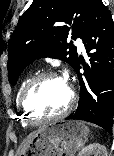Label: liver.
Wrapping results in <instances>:
<instances>
[{"label": "liver", "instance_id": "obj_1", "mask_svg": "<svg viewBox=\"0 0 114 156\" xmlns=\"http://www.w3.org/2000/svg\"><path fill=\"white\" fill-rule=\"evenodd\" d=\"M42 128H39L37 131L32 132L31 134H29L27 136L26 139H24V141L21 143V145L18 148L17 151V156H21L22 154L25 153L27 147L29 146L30 142L32 141V139L36 136V134L41 130Z\"/></svg>", "mask_w": 114, "mask_h": 156}]
</instances>
